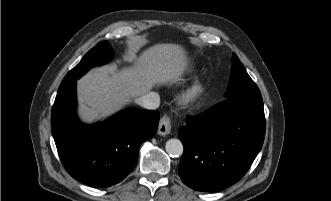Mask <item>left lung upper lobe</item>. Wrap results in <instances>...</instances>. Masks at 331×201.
<instances>
[{"instance_id": "1", "label": "left lung upper lobe", "mask_w": 331, "mask_h": 201, "mask_svg": "<svg viewBox=\"0 0 331 201\" xmlns=\"http://www.w3.org/2000/svg\"><path fill=\"white\" fill-rule=\"evenodd\" d=\"M249 94H260V91L241 65L238 57L233 54L230 82L225 97L231 98Z\"/></svg>"}]
</instances>
